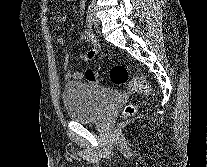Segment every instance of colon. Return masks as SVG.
<instances>
[{
  "label": "colon",
  "mask_w": 207,
  "mask_h": 167,
  "mask_svg": "<svg viewBox=\"0 0 207 167\" xmlns=\"http://www.w3.org/2000/svg\"><path fill=\"white\" fill-rule=\"evenodd\" d=\"M85 78L90 83H99V76L92 70H87L85 72ZM110 79L114 84L124 85L128 83V86L133 91L140 93L142 95H150L152 93V88L149 83L139 76L130 78L129 71L127 67L123 64H115L110 69ZM137 112V108L134 104H128L122 111V117H129Z\"/></svg>",
  "instance_id": "5ec220e1"
}]
</instances>
